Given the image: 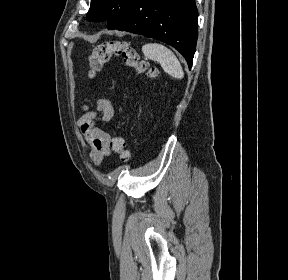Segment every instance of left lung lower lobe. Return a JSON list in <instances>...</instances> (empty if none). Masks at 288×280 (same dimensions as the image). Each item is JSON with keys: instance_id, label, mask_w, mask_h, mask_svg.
I'll return each instance as SVG.
<instances>
[{"instance_id": "left-lung-lower-lobe-1", "label": "left lung lower lobe", "mask_w": 288, "mask_h": 280, "mask_svg": "<svg viewBox=\"0 0 288 280\" xmlns=\"http://www.w3.org/2000/svg\"><path fill=\"white\" fill-rule=\"evenodd\" d=\"M159 39L178 50L189 69L198 37V12L194 0H137L109 30Z\"/></svg>"}]
</instances>
